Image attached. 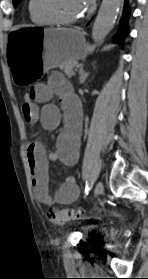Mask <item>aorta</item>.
<instances>
[{
	"mask_svg": "<svg viewBox=\"0 0 148 279\" xmlns=\"http://www.w3.org/2000/svg\"><path fill=\"white\" fill-rule=\"evenodd\" d=\"M122 0H103L92 27V38L101 42L112 29Z\"/></svg>",
	"mask_w": 148,
	"mask_h": 279,
	"instance_id": "obj_1",
	"label": "aorta"
}]
</instances>
